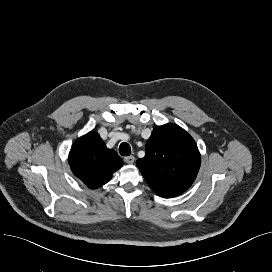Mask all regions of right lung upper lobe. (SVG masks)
I'll return each instance as SVG.
<instances>
[{
	"instance_id": "1",
	"label": "right lung upper lobe",
	"mask_w": 272,
	"mask_h": 272,
	"mask_svg": "<svg viewBox=\"0 0 272 272\" xmlns=\"http://www.w3.org/2000/svg\"><path fill=\"white\" fill-rule=\"evenodd\" d=\"M68 160L74 175L91 189L103 186L123 165L122 158L94 131L75 141Z\"/></svg>"
}]
</instances>
